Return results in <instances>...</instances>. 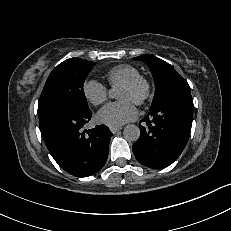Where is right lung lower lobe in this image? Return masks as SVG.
Listing matches in <instances>:
<instances>
[{"label": "right lung lower lobe", "instance_id": "right-lung-lower-lobe-1", "mask_svg": "<svg viewBox=\"0 0 231 231\" xmlns=\"http://www.w3.org/2000/svg\"><path fill=\"white\" fill-rule=\"evenodd\" d=\"M90 118V110L67 109L39 120L52 157L66 172L78 177H88L98 172L108 156L112 133L105 125L82 132Z\"/></svg>", "mask_w": 231, "mask_h": 231}]
</instances>
